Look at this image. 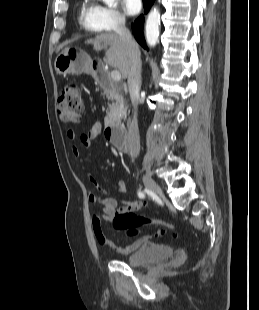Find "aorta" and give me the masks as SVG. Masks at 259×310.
Masks as SVG:
<instances>
[{"instance_id":"1","label":"aorta","mask_w":259,"mask_h":310,"mask_svg":"<svg viewBox=\"0 0 259 310\" xmlns=\"http://www.w3.org/2000/svg\"><path fill=\"white\" fill-rule=\"evenodd\" d=\"M109 7L115 4L116 0H102ZM160 12L157 8L151 10L146 21V40L150 46H155L159 38Z\"/></svg>"}]
</instances>
